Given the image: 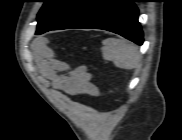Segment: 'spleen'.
Wrapping results in <instances>:
<instances>
[{"instance_id":"1","label":"spleen","mask_w":182,"mask_h":140,"mask_svg":"<svg viewBox=\"0 0 182 140\" xmlns=\"http://www.w3.org/2000/svg\"><path fill=\"white\" fill-rule=\"evenodd\" d=\"M103 58L113 61L122 69H134L140 65L141 56L135 45L124 39L108 38L102 42Z\"/></svg>"}]
</instances>
